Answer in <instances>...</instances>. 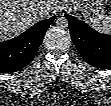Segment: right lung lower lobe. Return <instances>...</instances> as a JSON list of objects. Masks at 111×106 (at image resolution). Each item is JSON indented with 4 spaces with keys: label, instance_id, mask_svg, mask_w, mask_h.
Instances as JSON below:
<instances>
[{
    "label": "right lung lower lobe",
    "instance_id": "1",
    "mask_svg": "<svg viewBox=\"0 0 111 106\" xmlns=\"http://www.w3.org/2000/svg\"><path fill=\"white\" fill-rule=\"evenodd\" d=\"M55 17L40 21L21 35L0 42V73H11L27 66L34 58Z\"/></svg>",
    "mask_w": 111,
    "mask_h": 106
}]
</instances>
